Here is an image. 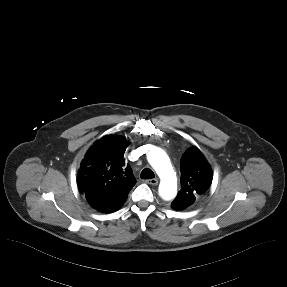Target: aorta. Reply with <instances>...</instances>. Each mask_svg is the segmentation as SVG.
Segmentation results:
<instances>
[{
	"label": "aorta",
	"instance_id": "obj_1",
	"mask_svg": "<svg viewBox=\"0 0 287 287\" xmlns=\"http://www.w3.org/2000/svg\"><path fill=\"white\" fill-rule=\"evenodd\" d=\"M147 160L160 178L159 195L164 200L173 199L177 194V178L167 154L161 148H153Z\"/></svg>",
	"mask_w": 287,
	"mask_h": 287
}]
</instances>
